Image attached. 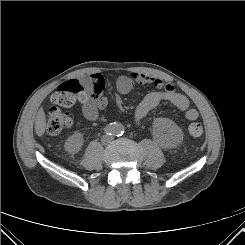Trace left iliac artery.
Listing matches in <instances>:
<instances>
[{"label": "left iliac artery", "instance_id": "left-iliac-artery-1", "mask_svg": "<svg viewBox=\"0 0 245 245\" xmlns=\"http://www.w3.org/2000/svg\"><path fill=\"white\" fill-rule=\"evenodd\" d=\"M123 127L122 126H118L117 130H116V134L117 136H121L123 134Z\"/></svg>", "mask_w": 245, "mask_h": 245}]
</instances>
